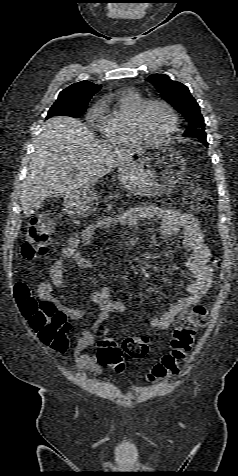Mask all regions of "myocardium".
<instances>
[{"label": "myocardium", "mask_w": 238, "mask_h": 476, "mask_svg": "<svg viewBox=\"0 0 238 476\" xmlns=\"http://www.w3.org/2000/svg\"><path fill=\"white\" fill-rule=\"evenodd\" d=\"M153 104L162 105L169 113L171 117V126L168 132L161 136V137H153L149 135L146 131L144 124H143V117L147 110V108ZM179 126V118L178 115L173 108V106L167 102L166 100L160 98H150L144 100L137 108L135 115H134V129L137 135L141 138L142 141L148 143H162L169 140L177 131Z\"/></svg>", "instance_id": "obj_1"}]
</instances>
